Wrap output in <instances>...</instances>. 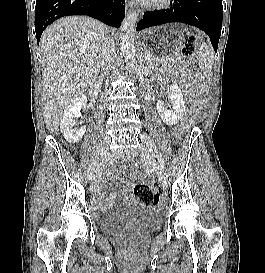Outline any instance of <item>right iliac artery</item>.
<instances>
[{
  "instance_id": "1",
  "label": "right iliac artery",
  "mask_w": 265,
  "mask_h": 273,
  "mask_svg": "<svg viewBox=\"0 0 265 273\" xmlns=\"http://www.w3.org/2000/svg\"><path fill=\"white\" fill-rule=\"evenodd\" d=\"M97 160L95 159L92 163H91V165H90V167H89V170H88V180H92V178H93V173H94V171H95V168H96V166H97Z\"/></svg>"
}]
</instances>
